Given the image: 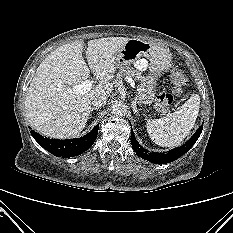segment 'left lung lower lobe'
<instances>
[{
	"label": "left lung lower lobe",
	"instance_id": "1",
	"mask_svg": "<svg viewBox=\"0 0 233 233\" xmlns=\"http://www.w3.org/2000/svg\"><path fill=\"white\" fill-rule=\"evenodd\" d=\"M132 128V127H131ZM203 126H200L195 134L182 146L172 149L166 153H149L148 150L144 149L138 141L136 140L134 136L133 130H131V144L133 146V150L136 152V154L141 157L142 159H145L149 162L155 163V164H166L170 163L179 157H181L183 154H185L187 151L190 150V148L195 144V142L198 140L201 132H202Z\"/></svg>",
	"mask_w": 233,
	"mask_h": 233
}]
</instances>
